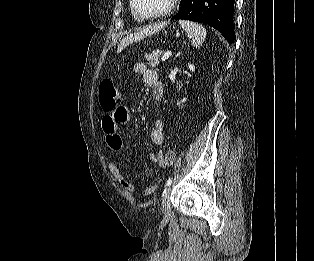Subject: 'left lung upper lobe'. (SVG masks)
I'll list each match as a JSON object with an SVG mask.
<instances>
[{"mask_svg": "<svg viewBox=\"0 0 314 261\" xmlns=\"http://www.w3.org/2000/svg\"><path fill=\"white\" fill-rule=\"evenodd\" d=\"M182 2H183V0H181L180 5H181Z\"/></svg>", "mask_w": 314, "mask_h": 261, "instance_id": "5c2ea615", "label": "left lung upper lobe"}]
</instances>
